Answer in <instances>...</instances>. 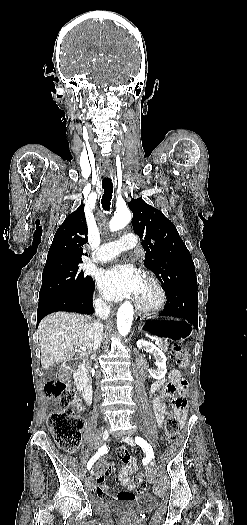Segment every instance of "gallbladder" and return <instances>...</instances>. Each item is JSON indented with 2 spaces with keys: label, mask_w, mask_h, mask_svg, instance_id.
<instances>
[{
  "label": "gallbladder",
  "mask_w": 247,
  "mask_h": 525,
  "mask_svg": "<svg viewBox=\"0 0 247 525\" xmlns=\"http://www.w3.org/2000/svg\"><path fill=\"white\" fill-rule=\"evenodd\" d=\"M41 372L43 375L49 377V379H57L58 375H62L60 369V363H54V365H45L42 367Z\"/></svg>",
  "instance_id": "1"
}]
</instances>
